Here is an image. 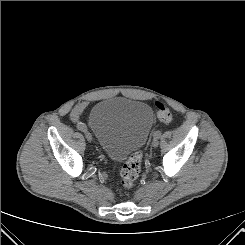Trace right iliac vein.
I'll list each match as a JSON object with an SVG mask.
<instances>
[{"label": "right iliac vein", "mask_w": 245, "mask_h": 245, "mask_svg": "<svg viewBox=\"0 0 245 245\" xmlns=\"http://www.w3.org/2000/svg\"><path fill=\"white\" fill-rule=\"evenodd\" d=\"M84 132V135H85V138L91 142L93 140L92 138V135L90 134V132H88L87 130L83 131Z\"/></svg>", "instance_id": "obj_1"}]
</instances>
